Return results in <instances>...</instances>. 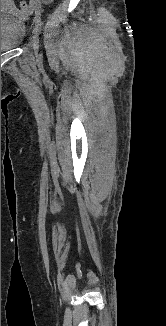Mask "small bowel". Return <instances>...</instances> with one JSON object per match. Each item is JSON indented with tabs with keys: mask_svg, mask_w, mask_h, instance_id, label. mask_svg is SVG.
<instances>
[{
	"mask_svg": "<svg viewBox=\"0 0 166 326\" xmlns=\"http://www.w3.org/2000/svg\"><path fill=\"white\" fill-rule=\"evenodd\" d=\"M3 6L7 7L12 12H15V13L18 12L17 8L14 6L13 0H1V7H3Z\"/></svg>",
	"mask_w": 166,
	"mask_h": 326,
	"instance_id": "1",
	"label": "small bowel"
}]
</instances>
